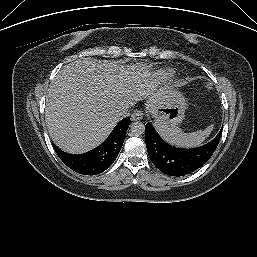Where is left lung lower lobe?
Wrapping results in <instances>:
<instances>
[{
  "label": "left lung lower lobe",
  "instance_id": "obj_1",
  "mask_svg": "<svg viewBox=\"0 0 257 257\" xmlns=\"http://www.w3.org/2000/svg\"><path fill=\"white\" fill-rule=\"evenodd\" d=\"M222 128L207 144L191 148H176L165 143L150 123L145 126V141L148 155L153 164L164 174L185 176L203 166L216 150Z\"/></svg>",
  "mask_w": 257,
  "mask_h": 257
}]
</instances>
